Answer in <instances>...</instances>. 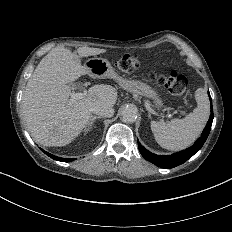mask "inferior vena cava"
<instances>
[{"label":"inferior vena cava","mask_w":232,"mask_h":232,"mask_svg":"<svg viewBox=\"0 0 232 232\" xmlns=\"http://www.w3.org/2000/svg\"><path fill=\"white\" fill-rule=\"evenodd\" d=\"M93 112L94 114L105 118H110L114 115V110L109 105H97L94 107Z\"/></svg>","instance_id":"inferior-vena-cava-1"}]
</instances>
